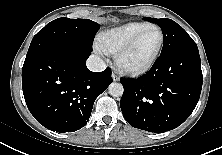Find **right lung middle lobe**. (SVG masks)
Segmentation results:
<instances>
[{
    "label": "right lung middle lobe",
    "mask_w": 222,
    "mask_h": 155,
    "mask_svg": "<svg viewBox=\"0 0 222 155\" xmlns=\"http://www.w3.org/2000/svg\"><path fill=\"white\" fill-rule=\"evenodd\" d=\"M99 28L98 23L89 19H55L33 37L25 60L57 47L90 49Z\"/></svg>",
    "instance_id": "obj_1"
}]
</instances>
